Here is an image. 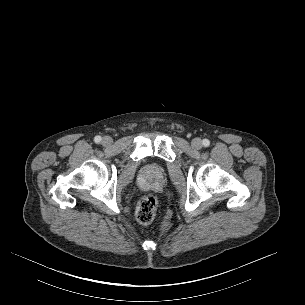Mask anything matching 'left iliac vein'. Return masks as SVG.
Listing matches in <instances>:
<instances>
[{
	"mask_svg": "<svg viewBox=\"0 0 305 305\" xmlns=\"http://www.w3.org/2000/svg\"><path fill=\"white\" fill-rule=\"evenodd\" d=\"M191 144L194 149H200L202 147V141L199 138H194Z\"/></svg>",
	"mask_w": 305,
	"mask_h": 305,
	"instance_id": "left-iliac-vein-1",
	"label": "left iliac vein"
}]
</instances>
